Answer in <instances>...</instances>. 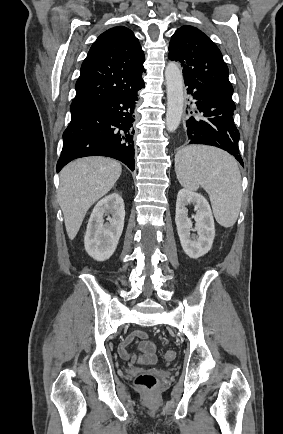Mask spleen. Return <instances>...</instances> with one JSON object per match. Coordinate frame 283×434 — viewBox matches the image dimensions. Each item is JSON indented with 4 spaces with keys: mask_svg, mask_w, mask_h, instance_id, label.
Returning <instances> with one entry per match:
<instances>
[{
    "mask_svg": "<svg viewBox=\"0 0 283 434\" xmlns=\"http://www.w3.org/2000/svg\"><path fill=\"white\" fill-rule=\"evenodd\" d=\"M175 172L185 189L204 188L221 226L228 228L235 224L241 208L242 187L234 157L215 147L187 146L175 156Z\"/></svg>",
    "mask_w": 283,
    "mask_h": 434,
    "instance_id": "1",
    "label": "spleen"
}]
</instances>
